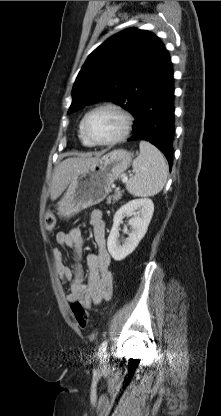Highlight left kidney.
<instances>
[{"mask_svg":"<svg viewBox=\"0 0 221 416\" xmlns=\"http://www.w3.org/2000/svg\"><path fill=\"white\" fill-rule=\"evenodd\" d=\"M153 212L154 204L146 198L129 201L117 210L107 240L108 251L114 260L121 261L135 250L147 232ZM125 215H133L128 222L132 230L128 238L119 241V226Z\"/></svg>","mask_w":221,"mask_h":416,"instance_id":"5707ae66","label":"left kidney"}]
</instances>
